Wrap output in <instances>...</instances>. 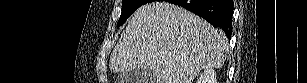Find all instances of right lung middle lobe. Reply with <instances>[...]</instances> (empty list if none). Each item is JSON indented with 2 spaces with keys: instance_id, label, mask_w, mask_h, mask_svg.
Instances as JSON below:
<instances>
[{
  "instance_id": "1",
  "label": "right lung middle lobe",
  "mask_w": 307,
  "mask_h": 83,
  "mask_svg": "<svg viewBox=\"0 0 307 83\" xmlns=\"http://www.w3.org/2000/svg\"><path fill=\"white\" fill-rule=\"evenodd\" d=\"M152 0H122V13L118 21V27L140 6L150 3Z\"/></svg>"
}]
</instances>
